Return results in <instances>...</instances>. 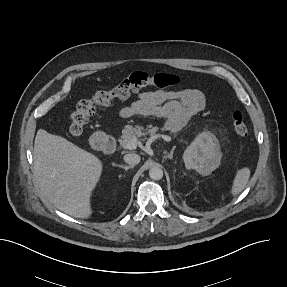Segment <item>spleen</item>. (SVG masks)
<instances>
[{"mask_svg": "<svg viewBox=\"0 0 287 287\" xmlns=\"http://www.w3.org/2000/svg\"><path fill=\"white\" fill-rule=\"evenodd\" d=\"M249 178H250V169L248 167H243L237 170L233 180L231 194L237 195L240 192H242L246 184L248 183Z\"/></svg>", "mask_w": 287, "mask_h": 287, "instance_id": "spleen-1", "label": "spleen"}]
</instances>
